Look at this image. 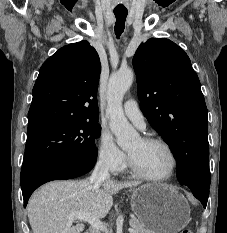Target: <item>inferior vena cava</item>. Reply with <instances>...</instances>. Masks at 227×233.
<instances>
[{"label":"inferior vena cava","mask_w":227,"mask_h":233,"mask_svg":"<svg viewBox=\"0 0 227 233\" xmlns=\"http://www.w3.org/2000/svg\"><path fill=\"white\" fill-rule=\"evenodd\" d=\"M109 177L110 174L107 161L105 159H99L90 177V183L98 186L104 180L109 179Z\"/></svg>","instance_id":"inferior-vena-cava-1"}]
</instances>
